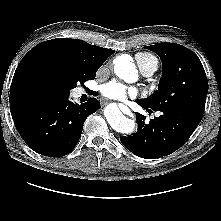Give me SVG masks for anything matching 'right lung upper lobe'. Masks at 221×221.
Here are the masks:
<instances>
[{
  "instance_id": "obj_1",
  "label": "right lung upper lobe",
  "mask_w": 221,
  "mask_h": 221,
  "mask_svg": "<svg viewBox=\"0 0 221 221\" xmlns=\"http://www.w3.org/2000/svg\"><path fill=\"white\" fill-rule=\"evenodd\" d=\"M115 51L78 39L57 38L32 48L19 63L10 87V107L22 98H59L48 92L40 81L41 70L71 64L87 73L98 68Z\"/></svg>"
}]
</instances>
